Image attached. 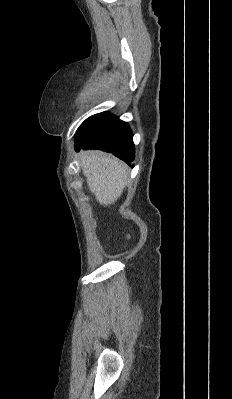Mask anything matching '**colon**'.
<instances>
[{
  "label": "colon",
  "instance_id": "1",
  "mask_svg": "<svg viewBox=\"0 0 232 399\" xmlns=\"http://www.w3.org/2000/svg\"><path fill=\"white\" fill-rule=\"evenodd\" d=\"M126 243L127 244L131 243V236L130 235L126 236ZM120 247H125V241H120Z\"/></svg>",
  "mask_w": 232,
  "mask_h": 399
}]
</instances>
